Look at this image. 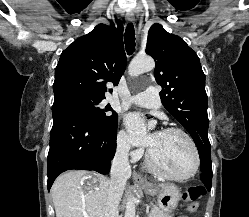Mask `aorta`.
I'll return each instance as SVG.
<instances>
[{
    "label": "aorta",
    "instance_id": "1",
    "mask_svg": "<svg viewBox=\"0 0 249 217\" xmlns=\"http://www.w3.org/2000/svg\"><path fill=\"white\" fill-rule=\"evenodd\" d=\"M155 68L154 60L149 56H137L129 65V74L133 77L138 76L144 72L151 71ZM136 198L131 196L125 209L124 217H135L136 214Z\"/></svg>",
    "mask_w": 249,
    "mask_h": 217
}]
</instances>
